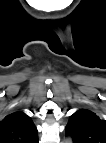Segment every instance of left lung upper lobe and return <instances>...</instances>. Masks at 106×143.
<instances>
[{"label": "left lung upper lobe", "instance_id": "obj_1", "mask_svg": "<svg viewBox=\"0 0 106 143\" xmlns=\"http://www.w3.org/2000/svg\"><path fill=\"white\" fill-rule=\"evenodd\" d=\"M65 133L74 143H106V121L90 110L80 109L70 116Z\"/></svg>", "mask_w": 106, "mask_h": 143}]
</instances>
